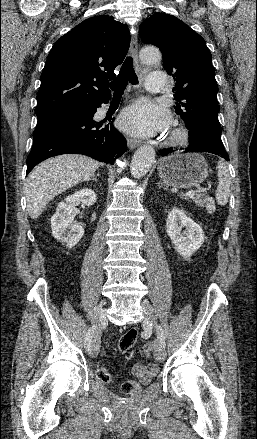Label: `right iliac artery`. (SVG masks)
I'll list each match as a JSON object with an SVG mask.
<instances>
[{
  "label": "right iliac artery",
  "mask_w": 257,
  "mask_h": 439,
  "mask_svg": "<svg viewBox=\"0 0 257 439\" xmlns=\"http://www.w3.org/2000/svg\"><path fill=\"white\" fill-rule=\"evenodd\" d=\"M95 329H96V326L94 325L86 333L85 341H84V346H85L87 351H89L90 348H91L92 339H93V336H94V333H95Z\"/></svg>",
  "instance_id": "right-iliac-artery-1"
}]
</instances>
